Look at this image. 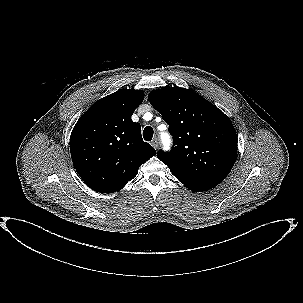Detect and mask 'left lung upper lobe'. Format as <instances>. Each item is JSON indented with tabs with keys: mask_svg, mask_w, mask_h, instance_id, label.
Masks as SVG:
<instances>
[{
	"mask_svg": "<svg viewBox=\"0 0 303 303\" xmlns=\"http://www.w3.org/2000/svg\"><path fill=\"white\" fill-rule=\"evenodd\" d=\"M151 105L173 136L170 152L157 157L175 177L225 178L237 156V135L230 119L199 94L180 87L151 91Z\"/></svg>",
	"mask_w": 303,
	"mask_h": 303,
	"instance_id": "1",
	"label": "left lung upper lobe"
}]
</instances>
